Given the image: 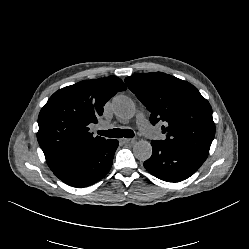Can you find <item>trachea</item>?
Here are the masks:
<instances>
[{
    "mask_svg": "<svg viewBox=\"0 0 249 249\" xmlns=\"http://www.w3.org/2000/svg\"><path fill=\"white\" fill-rule=\"evenodd\" d=\"M99 135L101 136H106V137H110V138H132L134 137V132L130 129H118V128H114L112 130H99L97 132Z\"/></svg>",
    "mask_w": 249,
    "mask_h": 249,
    "instance_id": "trachea-1",
    "label": "trachea"
}]
</instances>
